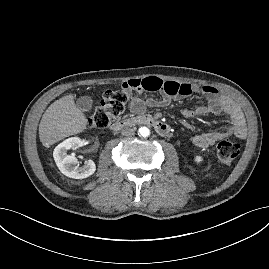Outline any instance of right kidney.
<instances>
[{"mask_svg":"<svg viewBox=\"0 0 269 269\" xmlns=\"http://www.w3.org/2000/svg\"><path fill=\"white\" fill-rule=\"evenodd\" d=\"M84 144V140L78 137H72L66 139L54 149V160L64 175L74 179H83L94 174L96 166L92 160H88L83 166H79L78 159L75 155L68 154V150L81 147Z\"/></svg>","mask_w":269,"mask_h":269,"instance_id":"1","label":"right kidney"}]
</instances>
